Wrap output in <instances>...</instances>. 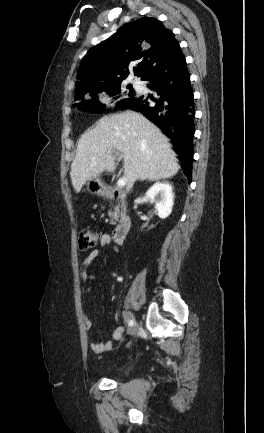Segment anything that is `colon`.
Wrapping results in <instances>:
<instances>
[{"label":"colon","instance_id":"1","mask_svg":"<svg viewBox=\"0 0 264 433\" xmlns=\"http://www.w3.org/2000/svg\"><path fill=\"white\" fill-rule=\"evenodd\" d=\"M100 241L99 235L92 229L85 228L79 234V249L87 251L94 248Z\"/></svg>","mask_w":264,"mask_h":433}]
</instances>
